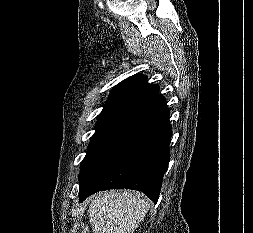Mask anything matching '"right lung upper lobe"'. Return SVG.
<instances>
[{
    "instance_id": "1",
    "label": "right lung upper lobe",
    "mask_w": 253,
    "mask_h": 233,
    "mask_svg": "<svg viewBox=\"0 0 253 233\" xmlns=\"http://www.w3.org/2000/svg\"><path fill=\"white\" fill-rule=\"evenodd\" d=\"M158 90V85L147 82L146 75L135 74L112 88L107 103L129 102L137 104Z\"/></svg>"
}]
</instances>
